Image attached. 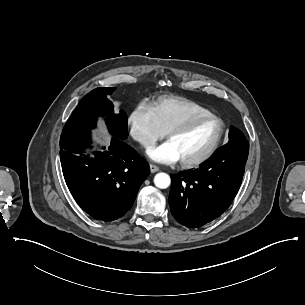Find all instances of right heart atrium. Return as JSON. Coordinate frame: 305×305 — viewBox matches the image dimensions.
<instances>
[{
    "mask_svg": "<svg viewBox=\"0 0 305 305\" xmlns=\"http://www.w3.org/2000/svg\"><path fill=\"white\" fill-rule=\"evenodd\" d=\"M126 125L131 139L144 148L152 147L164 135L151 105L144 102L138 103L128 114Z\"/></svg>",
    "mask_w": 305,
    "mask_h": 305,
    "instance_id": "d8ad5b80",
    "label": "right heart atrium"
}]
</instances>
